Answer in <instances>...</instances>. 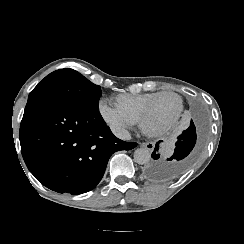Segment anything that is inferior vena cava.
Segmentation results:
<instances>
[{
  "instance_id": "602c4592",
  "label": "inferior vena cava",
  "mask_w": 244,
  "mask_h": 244,
  "mask_svg": "<svg viewBox=\"0 0 244 244\" xmlns=\"http://www.w3.org/2000/svg\"><path fill=\"white\" fill-rule=\"evenodd\" d=\"M112 132L119 139H122V140H129L130 139V134L125 129H122V128H112Z\"/></svg>"
}]
</instances>
